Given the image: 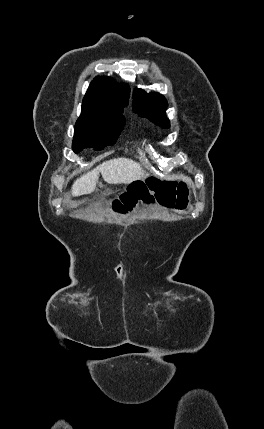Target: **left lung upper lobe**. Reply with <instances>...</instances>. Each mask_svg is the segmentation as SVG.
Returning <instances> with one entry per match:
<instances>
[{
	"label": "left lung upper lobe",
	"instance_id": "5c2ea615",
	"mask_svg": "<svg viewBox=\"0 0 264 429\" xmlns=\"http://www.w3.org/2000/svg\"><path fill=\"white\" fill-rule=\"evenodd\" d=\"M133 109L139 115L148 117L158 125L169 128V120L166 118L167 102L160 94H147L141 89H135L133 94Z\"/></svg>",
	"mask_w": 264,
	"mask_h": 429
}]
</instances>
